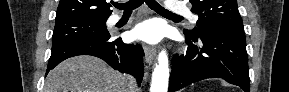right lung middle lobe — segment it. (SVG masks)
Masks as SVG:
<instances>
[{"instance_id": "obj_1", "label": "right lung middle lobe", "mask_w": 289, "mask_h": 92, "mask_svg": "<svg viewBox=\"0 0 289 92\" xmlns=\"http://www.w3.org/2000/svg\"><path fill=\"white\" fill-rule=\"evenodd\" d=\"M105 22L76 19L56 23L52 36V49L77 41L99 40L110 37Z\"/></svg>"}]
</instances>
